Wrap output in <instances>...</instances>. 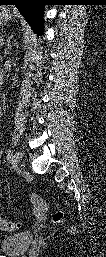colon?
Returning a JSON list of instances; mask_svg holds the SVG:
<instances>
[{
    "instance_id": "colon-1",
    "label": "colon",
    "mask_w": 106,
    "mask_h": 257,
    "mask_svg": "<svg viewBox=\"0 0 106 257\" xmlns=\"http://www.w3.org/2000/svg\"><path fill=\"white\" fill-rule=\"evenodd\" d=\"M63 220H64L63 212L57 211V212L54 213L53 222L55 224H61L63 222ZM0 228L3 231L12 232V231H16L20 228V223L3 219L0 222Z\"/></svg>"
}]
</instances>
